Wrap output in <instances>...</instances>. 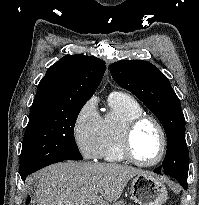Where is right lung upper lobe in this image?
<instances>
[{"mask_svg":"<svg viewBox=\"0 0 199 205\" xmlns=\"http://www.w3.org/2000/svg\"><path fill=\"white\" fill-rule=\"evenodd\" d=\"M105 70L104 62L97 57L83 54L64 56L47 70L40 81L30 112L52 105L89 100Z\"/></svg>","mask_w":199,"mask_h":205,"instance_id":"cb5924a9","label":"right lung upper lobe"}]
</instances>
